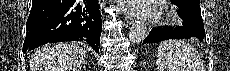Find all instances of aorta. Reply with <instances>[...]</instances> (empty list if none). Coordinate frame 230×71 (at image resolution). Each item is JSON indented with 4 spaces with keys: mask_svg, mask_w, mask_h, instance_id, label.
<instances>
[{
    "mask_svg": "<svg viewBox=\"0 0 230 71\" xmlns=\"http://www.w3.org/2000/svg\"><path fill=\"white\" fill-rule=\"evenodd\" d=\"M147 36V27L142 22L133 24L129 31V39L132 43H140Z\"/></svg>",
    "mask_w": 230,
    "mask_h": 71,
    "instance_id": "1",
    "label": "aorta"
}]
</instances>
